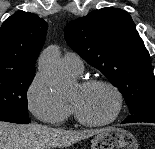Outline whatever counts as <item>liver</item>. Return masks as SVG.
I'll return each instance as SVG.
<instances>
[{
    "mask_svg": "<svg viewBox=\"0 0 155 149\" xmlns=\"http://www.w3.org/2000/svg\"><path fill=\"white\" fill-rule=\"evenodd\" d=\"M107 129L66 131L35 123L16 125L0 122V149H63Z\"/></svg>",
    "mask_w": 155,
    "mask_h": 149,
    "instance_id": "obj_1",
    "label": "liver"
}]
</instances>
